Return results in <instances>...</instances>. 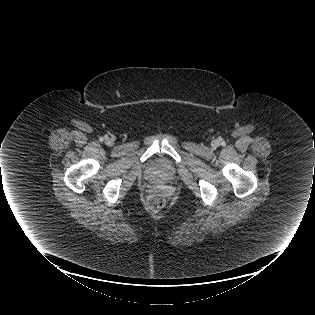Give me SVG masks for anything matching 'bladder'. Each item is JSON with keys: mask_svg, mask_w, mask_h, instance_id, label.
<instances>
[{"mask_svg": "<svg viewBox=\"0 0 315 315\" xmlns=\"http://www.w3.org/2000/svg\"><path fill=\"white\" fill-rule=\"evenodd\" d=\"M173 168L165 161L154 162L148 170V177L154 180H168L173 176Z\"/></svg>", "mask_w": 315, "mask_h": 315, "instance_id": "31cf9c89", "label": "bladder"}]
</instances>
